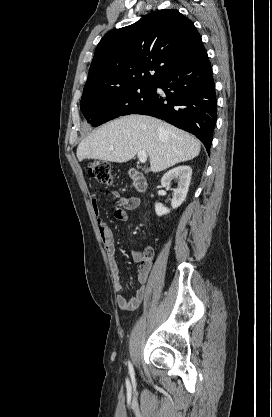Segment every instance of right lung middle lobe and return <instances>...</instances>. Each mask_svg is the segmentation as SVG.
Returning a JSON list of instances; mask_svg holds the SVG:
<instances>
[{"mask_svg": "<svg viewBox=\"0 0 272 417\" xmlns=\"http://www.w3.org/2000/svg\"><path fill=\"white\" fill-rule=\"evenodd\" d=\"M155 95V84L144 83L103 95H82L80 108L94 127L122 115L132 114Z\"/></svg>", "mask_w": 272, "mask_h": 417, "instance_id": "right-lung-middle-lobe-1", "label": "right lung middle lobe"}]
</instances>
